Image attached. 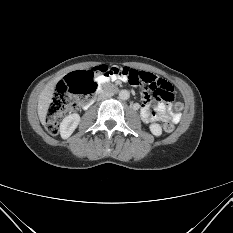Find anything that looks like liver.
Returning <instances> with one entry per match:
<instances>
[{
	"label": "liver",
	"mask_w": 233,
	"mask_h": 233,
	"mask_svg": "<svg viewBox=\"0 0 233 233\" xmlns=\"http://www.w3.org/2000/svg\"><path fill=\"white\" fill-rule=\"evenodd\" d=\"M59 79L60 77L48 82L39 95L37 112L42 124H45L46 115L52 103L55 85Z\"/></svg>",
	"instance_id": "obj_1"
}]
</instances>
